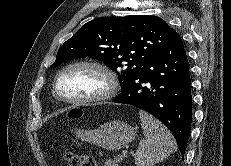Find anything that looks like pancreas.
I'll list each match as a JSON object with an SVG mask.
<instances>
[{"instance_id":"cf45deb5","label":"pancreas","mask_w":231,"mask_h":166,"mask_svg":"<svg viewBox=\"0 0 231 166\" xmlns=\"http://www.w3.org/2000/svg\"><path fill=\"white\" fill-rule=\"evenodd\" d=\"M120 162H122V157L116 156L114 160L107 159L103 166H118Z\"/></svg>"}]
</instances>
